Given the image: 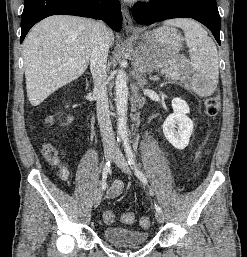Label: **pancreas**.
Wrapping results in <instances>:
<instances>
[{
	"instance_id": "1",
	"label": "pancreas",
	"mask_w": 247,
	"mask_h": 257,
	"mask_svg": "<svg viewBox=\"0 0 247 257\" xmlns=\"http://www.w3.org/2000/svg\"><path fill=\"white\" fill-rule=\"evenodd\" d=\"M175 69L173 67H163L162 73H165L166 75H169L173 73Z\"/></svg>"
}]
</instances>
